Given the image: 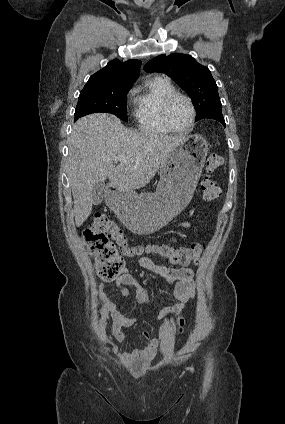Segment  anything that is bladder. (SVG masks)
Wrapping results in <instances>:
<instances>
[{
	"instance_id": "bladder-1",
	"label": "bladder",
	"mask_w": 285,
	"mask_h": 424,
	"mask_svg": "<svg viewBox=\"0 0 285 424\" xmlns=\"http://www.w3.org/2000/svg\"><path fill=\"white\" fill-rule=\"evenodd\" d=\"M148 363H149L148 358H146L144 355L137 354L134 357L133 361L131 362L130 366L132 369L136 370L145 366Z\"/></svg>"
}]
</instances>
